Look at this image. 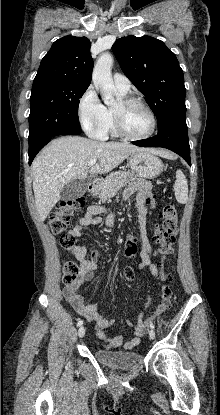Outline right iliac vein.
Instances as JSON below:
<instances>
[{"label":"right iliac vein","instance_id":"1","mask_svg":"<svg viewBox=\"0 0 220 415\" xmlns=\"http://www.w3.org/2000/svg\"><path fill=\"white\" fill-rule=\"evenodd\" d=\"M78 335L80 338L84 337L85 335V328L83 326H81L78 330Z\"/></svg>","mask_w":220,"mask_h":415}]
</instances>
